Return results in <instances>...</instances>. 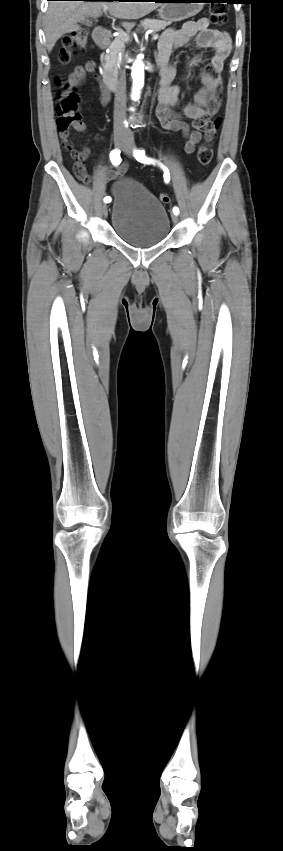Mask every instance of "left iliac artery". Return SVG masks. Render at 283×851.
<instances>
[{"mask_svg": "<svg viewBox=\"0 0 283 851\" xmlns=\"http://www.w3.org/2000/svg\"><path fill=\"white\" fill-rule=\"evenodd\" d=\"M133 154H134V157L136 158V160H137V161H139V162H141V163H146V164H155V162H156L155 160H153V159H151V158H148V157L145 155V151H144V150H134ZM159 165L161 166V168H162V169H163V171H164V180H165V182H166V183H168V182L170 181V173H169V170H168V169H167L164 165H162L161 163H160ZM173 213H174V214H176V215H178V214H179V209H178V207H174V208H173Z\"/></svg>", "mask_w": 283, "mask_h": 851, "instance_id": "obj_1", "label": "left iliac artery"}]
</instances>
